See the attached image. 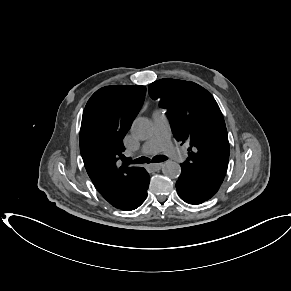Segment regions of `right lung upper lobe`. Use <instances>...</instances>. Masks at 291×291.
<instances>
[{
	"instance_id": "cb5924a9",
	"label": "right lung upper lobe",
	"mask_w": 291,
	"mask_h": 291,
	"mask_svg": "<svg viewBox=\"0 0 291 291\" xmlns=\"http://www.w3.org/2000/svg\"><path fill=\"white\" fill-rule=\"evenodd\" d=\"M145 93V86H106L91 96L83 111L80 130L83 162L96 189L114 207L125 204L138 190L141 168L129 167L128 160L123 159L122 140L143 104Z\"/></svg>"
}]
</instances>
